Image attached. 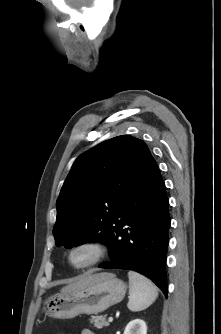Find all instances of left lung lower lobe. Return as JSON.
<instances>
[{
  "mask_svg": "<svg viewBox=\"0 0 221 334\" xmlns=\"http://www.w3.org/2000/svg\"><path fill=\"white\" fill-rule=\"evenodd\" d=\"M168 207L165 183L154 160L123 201L108 244L111 260L99 267L137 271L167 296Z\"/></svg>",
  "mask_w": 221,
  "mask_h": 334,
  "instance_id": "0a47b994",
  "label": "left lung lower lobe"
}]
</instances>
